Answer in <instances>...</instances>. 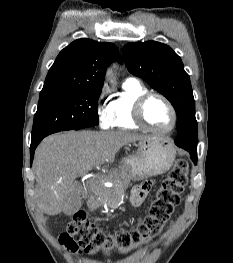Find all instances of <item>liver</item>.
Wrapping results in <instances>:
<instances>
[{
  "label": "liver",
  "instance_id": "obj_1",
  "mask_svg": "<svg viewBox=\"0 0 233 263\" xmlns=\"http://www.w3.org/2000/svg\"><path fill=\"white\" fill-rule=\"evenodd\" d=\"M149 136L127 131H70L46 137L34 157L37 207L49 216L63 211L76 192L77 177L93 166L112 161L118 150L128 143Z\"/></svg>",
  "mask_w": 233,
  "mask_h": 263
}]
</instances>
